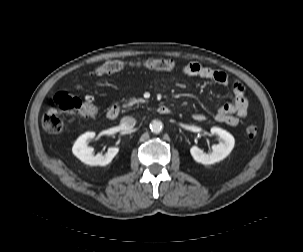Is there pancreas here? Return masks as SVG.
I'll return each mask as SVG.
<instances>
[{
  "label": "pancreas",
  "instance_id": "pancreas-1",
  "mask_svg": "<svg viewBox=\"0 0 303 252\" xmlns=\"http://www.w3.org/2000/svg\"><path fill=\"white\" fill-rule=\"evenodd\" d=\"M144 100L142 99H135V98H132L130 99L127 104L125 105V107H131L133 105H138L139 103H143Z\"/></svg>",
  "mask_w": 303,
  "mask_h": 252
}]
</instances>
